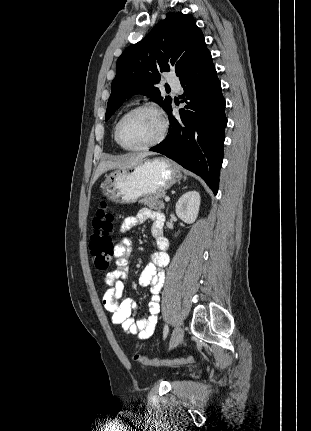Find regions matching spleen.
Here are the masks:
<instances>
[{
  "label": "spleen",
  "mask_w": 311,
  "mask_h": 431,
  "mask_svg": "<svg viewBox=\"0 0 311 431\" xmlns=\"http://www.w3.org/2000/svg\"><path fill=\"white\" fill-rule=\"evenodd\" d=\"M184 180H187L186 176H184Z\"/></svg>",
  "instance_id": "spleen-1"
}]
</instances>
